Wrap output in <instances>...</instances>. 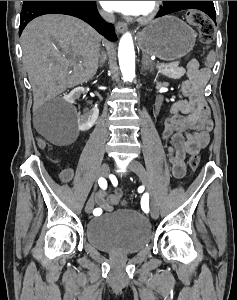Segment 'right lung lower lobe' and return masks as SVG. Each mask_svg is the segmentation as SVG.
<instances>
[{"label":"right lung lower lobe","instance_id":"1","mask_svg":"<svg viewBox=\"0 0 237 300\" xmlns=\"http://www.w3.org/2000/svg\"><path fill=\"white\" fill-rule=\"evenodd\" d=\"M44 14H66L75 16L90 24L108 40H117L114 26L100 18L95 1H36L27 6H23L19 35L32 19Z\"/></svg>","mask_w":237,"mask_h":300}]
</instances>
